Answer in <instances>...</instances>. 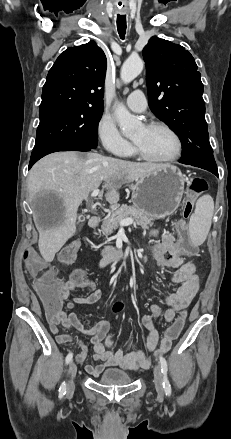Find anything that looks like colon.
Here are the masks:
<instances>
[{"mask_svg": "<svg viewBox=\"0 0 231 439\" xmlns=\"http://www.w3.org/2000/svg\"><path fill=\"white\" fill-rule=\"evenodd\" d=\"M207 189V183L201 178H194L190 185L191 198L187 199L182 209V220L177 225V231L179 241L183 250H178L177 257L181 262L186 263L189 259L196 258L197 249L191 241L185 220L191 215L193 210V197H196L203 193ZM25 254V267L35 276L34 277V290L37 292V297L41 299V305L45 306V315L49 320H58L59 312L55 309L60 307V280L57 274L49 271L47 268L48 262L46 259H40L36 254L38 248L33 246L31 249L27 248ZM79 252V244L71 243L67 245L59 254V261L62 264H72ZM72 278L81 287H91L92 283L89 282L84 273L81 270H76L72 274ZM122 309L120 302L114 305V311L119 312ZM178 318L172 323V325L165 331L164 338L168 341L175 340L184 325L186 320L187 309L184 306L179 307Z\"/></svg>", "mask_w": 231, "mask_h": 439, "instance_id": "1", "label": "colon"}]
</instances>
